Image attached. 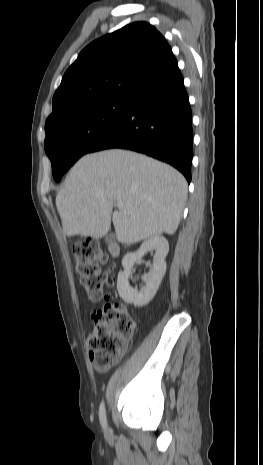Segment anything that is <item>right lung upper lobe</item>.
Masks as SVG:
<instances>
[{"label": "right lung upper lobe", "mask_w": 263, "mask_h": 465, "mask_svg": "<svg viewBox=\"0 0 263 465\" xmlns=\"http://www.w3.org/2000/svg\"><path fill=\"white\" fill-rule=\"evenodd\" d=\"M178 67L165 38L151 24L135 22L85 47L56 90L52 114L97 100L131 98Z\"/></svg>", "instance_id": "1"}]
</instances>
